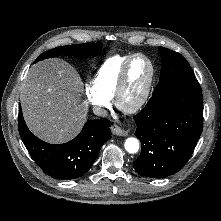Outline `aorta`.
<instances>
[{
    "instance_id": "762f6f07",
    "label": "aorta",
    "mask_w": 221,
    "mask_h": 221,
    "mask_svg": "<svg viewBox=\"0 0 221 221\" xmlns=\"http://www.w3.org/2000/svg\"><path fill=\"white\" fill-rule=\"evenodd\" d=\"M124 146L126 151L131 154H134L139 150V142L136 138L133 137L127 138Z\"/></svg>"
}]
</instances>
